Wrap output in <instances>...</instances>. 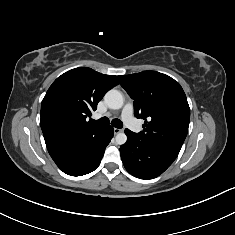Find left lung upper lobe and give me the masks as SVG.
Here are the masks:
<instances>
[{"label":"left lung upper lobe","mask_w":235,"mask_h":235,"mask_svg":"<svg viewBox=\"0 0 235 235\" xmlns=\"http://www.w3.org/2000/svg\"><path fill=\"white\" fill-rule=\"evenodd\" d=\"M118 78L134 100L135 116L145 120L144 130L138 135L148 142L179 153L190 120V108L180 84L156 71Z\"/></svg>","instance_id":"left-lung-upper-lobe-1"}]
</instances>
